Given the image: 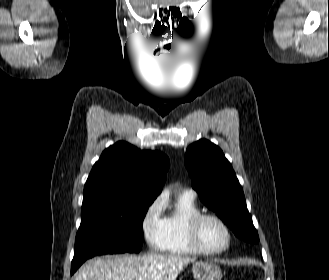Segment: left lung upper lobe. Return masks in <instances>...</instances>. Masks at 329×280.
<instances>
[{"label":"left lung upper lobe","instance_id":"left-lung-upper-lobe-1","mask_svg":"<svg viewBox=\"0 0 329 280\" xmlns=\"http://www.w3.org/2000/svg\"><path fill=\"white\" fill-rule=\"evenodd\" d=\"M185 165L201 201L215 211L237 237L258 243L259 236L242 187L222 150L208 140H199L188 147Z\"/></svg>","mask_w":329,"mask_h":280}]
</instances>
